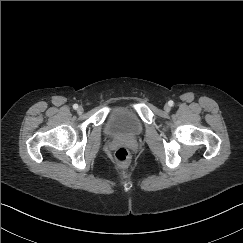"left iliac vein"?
<instances>
[{"instance_id":"4c4485c4","label":"left iliac vein","mask_w":243,"mask_h":243,"mask_svg":"<svg viewBox=\"0 0 243 243\" xmlns=\"http://www.w3.org/2000/svg\"><path fill=\"white\" fill-rule=\"evenodd\" d=\"M170 106L168 105V104H166L165 106H164V110L166 111V112H169L170 111Z\"/></svg>"}]
</instances>
